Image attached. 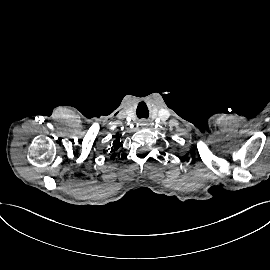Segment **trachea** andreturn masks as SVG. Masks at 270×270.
<instances>
[{
  "mask_svg": "<svg viewBox=\"0 0 270 270\" xmlns=\"http://www.w3.org/2000/svg\"><path fill=\"white\" fill-rule=\"evenodd\" d=\"M137 116L138 118H148V110H141L140 108L137 109Z\"/></svg>",
  "mask_w": 270,
  "mask_h": 270,
  "instance_id": "3493384b",
  "label": "trachea"
}]
</instances>
